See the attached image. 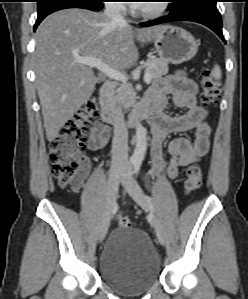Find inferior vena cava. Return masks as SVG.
Segmentation results:
<instances>
[{"label":"inferior vena cava","instance_id":"obj_1","mask_svg":"<svg viewBox=\"0 0 248 299\" xmlns=\"http://www.w3.org/2000/svg\"><path fill=\"white\" fill-rule=\"evenodd\" d=\"M125 7L120 3H108L104 15L114 24L126 25L122 12ZM113 140H112V166L125 167L128 165V131L125 125L124 114L120 107L113 112Z\"/></svg>","mask_w":248,"mask_h":299}]
</instances>
